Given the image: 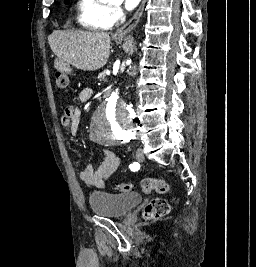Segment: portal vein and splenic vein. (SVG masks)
Returning <instances> with one entry per match:
<instances>
[{"label": "portal vein and splenic vein", "instance_id": "1", "mask_svg": "<svg viewBox=\"0 0 256 267\" xmlns=\"http://www.w3.org/2000/svg\"><path fill=\"white\" fill-rule=\"evenodd\" d=\"M105 75H106V76H109V75H110V70H109V69H106V70H105Z\"/></svg>", "mask_w": 256, "mask_h": 267}]
</instances>
